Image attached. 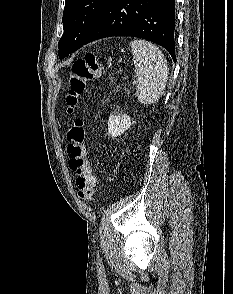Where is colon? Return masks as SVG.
Segmentation results:
<instances>
[{"label": "colon", "instance_id": "colon-1", "mask_svg": "<svg viewBox=\"0 0 233 294\" xmlns=\"http://www.w3.org/2000/svg\"><path fill=\"white\" fill-rule=\"evenodd\" d=\"M102 65L96 56L89 52L74 61L69 76L68 93L66 96L68 113H72L79 97L84 93L88 83L100 76ZM85 125L82 119H76L67 132L68 154L70 168L76 173L78 196L80 199L91 202L97 183L93 174L92 165L87 157L85 146Z\"/></svg>", "mask_w": 233, "mask_h": 294}]
</instances>
